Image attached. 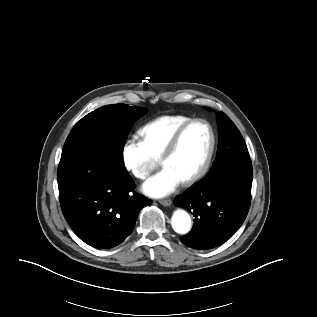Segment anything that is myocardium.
<instances>
[{
  "label": "myocardium",
  "mask_w": 317,
  "mask_h": 317,
  "mask_svg": "<svg viewBox=\"0 0 317 317\" xmlns=\"http://www.w3.org/2000/svg\"><path fill=\"white\" fill-rule=\"evenodd\" d=\"M204 124L210 135V142H209V147L206 152V155L204 157L203 162L201 163L200 167L196 170L195 173H193L190 177L182 180V184L185 186H190L198 182L208 171L209 166L212 161V157L215 151V145H216V137H215V132L212 128V125L205 119L201 118H194L185 123L183 126H181L178 131L174 134L172 137L171 141L169 142L167 148L165 149L164 153L160 157V162L162 165H164L165 161L169 159L171 156L174 155V153L177 151L180 142L184 136V134L187 132V130L192 127L195 124Z\"/></svg>",
  "instance_id": "f54148a6"
}]
</instances>
